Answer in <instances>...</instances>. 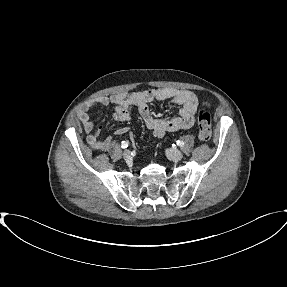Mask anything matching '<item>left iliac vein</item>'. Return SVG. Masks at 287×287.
<instances>
[{
    "mask_svg": "<svg viewBox=\"0 0 287 287\" xmlns=\"http://www.w3.org/2000/svg\"><path fill=\"white\" fill-rule=\"evenodd\" d=\"M166 153L168 158L175 162H178L183 158L182 152L177 149H167Z\"/></svg>",
    "mask_w": 287,
    "mask_h": 287,
    "instance_id": "left-iliac-vein-1",
    "label": "left iliac vein"
}]
</instances>
